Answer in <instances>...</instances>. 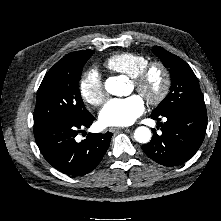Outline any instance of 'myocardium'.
Wrapping results in <instances>:
<instances>
[{
    "instance_id": "myocardium-1",
    "label": "myocardium",
    "mask_w": 221,
    "mask_h": 221,
    "mask_svg": "<svg viewBox=\"0 0 221 221\" xmlns=\"http://www.w3.org/2000/svg\"><path fill=\"white\" fill-rule=\"evenodd\" d=\"M159 71L162 76V85L158 93L147 94L145 92V86L150 74L153 71ZM135 89L147 100L151 105H158L163 102L168 96L172 78L168 67L160 61L148 62L144 67H142L137 74L132 78Z\"/></svg>"
}]
</instances>
